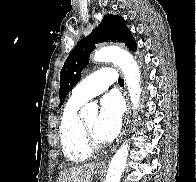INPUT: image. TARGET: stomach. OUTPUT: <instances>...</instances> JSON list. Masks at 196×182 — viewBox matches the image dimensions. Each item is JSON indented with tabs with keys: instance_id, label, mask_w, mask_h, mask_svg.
I'll list each match as a JSON object with an SVG mask.
<instances>
[{
	"instance_id": "1",
	"label": "stomach",
	"mask_w": 196,
	"mask_h": 182,
	"mask_svg": "<svg viewBox=\"0 0 196 182\" xmlns=\"http://www.w3.org/2000/svg\"><path fill=\"white\" fill-rule=\"evenodd\" d=\"M96 172L99 173V174H101V173L103 172V169H101V168L98 167V168L96 169Z\"/></svg>"
}]
</instances>
